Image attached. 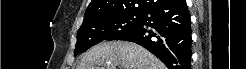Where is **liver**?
I'll use <instances>...</instances> for the list:
<instances>
[{
    "label": "liver",
    "instance_id": "1",
    "mask_svg": "<svg viewBox=\"0 0 246 69\" xmlns=\"http://www.w3.org/2000/svg\"><path fill=\"white\" fill-rule=\"evenodd\" d=\"M165 69L163 63L143 47L128 42H104L89 49L77 69Z\"/></svg>",
    "mask_w": 246,
    "mask_h": 69
}]
</instances>
